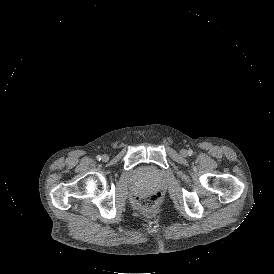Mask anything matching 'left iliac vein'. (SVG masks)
Wrapping results in <instances>:
<instances>
[{
  "instance_id": "left-iliac-vein-1",
  "label": "left iliac vein",
  "mask_w": 274,
  "mask_h": 274,
  "mask_svg": "<svg viewBox=\"0 0 274 274\" xmlns=\"http://www.w3.org/2000/svg\"><path fill=\"white\" fill-rule=\"evenodd\" d=\"M180 153H181L182 156H186L187 155V151L185 149H182L180 151Z\"/></svg>"
}]
</instances>
